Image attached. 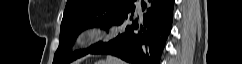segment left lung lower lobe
Returning a JSON list of instances; mask_svg holds the SVG:
<instances>
[{
    "instance_id": "left-lung-lower-lobe-1",
    "label": "left lung lower lobe",
    "mask_w": 242,
    "mask_h": 64,
    "mask_svg": "<svg viewBox=\"0 0 242 64\" xmlns=\"http://www.w3.org/2000/svg\"><path fill=\"white\" fill-rule=\"evenodd\" d=\"M134 2L114 24L122 25L124 32L88 53L113 55L132 64H160L172 27L174 0H142L145 13L136 19Z\"/></svg>"
}]
</instances>
